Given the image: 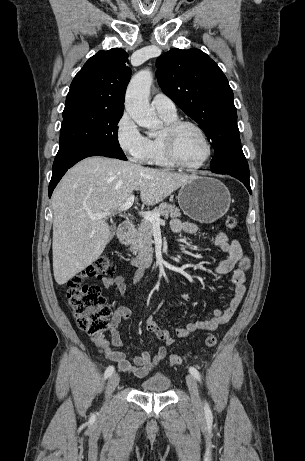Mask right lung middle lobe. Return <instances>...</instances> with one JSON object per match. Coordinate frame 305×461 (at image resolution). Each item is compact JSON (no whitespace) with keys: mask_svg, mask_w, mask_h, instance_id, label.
Wrapping results in <instances>:
<instances>
[{"mask_svg":"<svg viewBox=\"0 0 305 461\" xmlns=\"http://www.w3.org/2000/svg\"><path fill=\"white\" fill-rule=\"evenodd\" d=\"M123 112L77 106L65 108L56 156L86 150L102 149L116 158L127 160L118 143L117 124Z\"/></svg>","mask_w":305,"mask_h":461,"instance_id":"obj_1","label":"right lung middle lobe"}]
</instances>
